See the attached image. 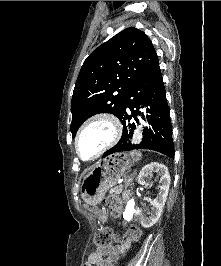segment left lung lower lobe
Wrapping results in <instances>:
<instances>
[{
  "mask_svg": "<svg viewBox=\"0 0 221 266\" xmlns=\"http://www.w3.org/2000/svg\"><path fill=\"white\" fill-rule=\"evenodd\" d=\"M141 108H146L148 114L144 115L140 111ZM129 110L131 114H128ZM137 115L146 120L147 127L143 130L142 142L132 145L129 139L133 135L135 125L131 123V119L133 117L138 123ZM120 121L123 124L122 137L103 157L133 149H151L174 157L170 112L159 65L130 87Z\"/></svg>",
  "mask_w": 221,
  "mask_h": 266,
  "instance_id": "obj_1",
  "label": "left lung lower lobe"
}]
</instances>
